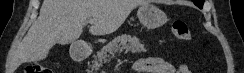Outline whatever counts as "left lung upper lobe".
<instances>
[{
  "label": "left lung upper lobe",
  "mask_w": 244,
  "mask_h": 73,
  "mask_svg": "<svg viewBox=\"0 0 244 73\" xmlns=\"http://www.w3.org/2000/svg\"><path fill=\"white\" fill-rule=\"evenodd\" d=\"M193 2L200 8L203 7L204 0H193Z\"/></svg>",
  "instance_id": "1"
}]
</instances>
